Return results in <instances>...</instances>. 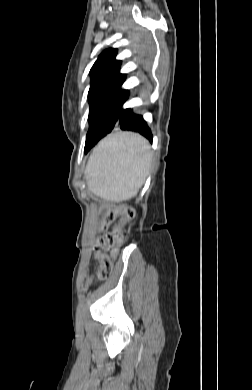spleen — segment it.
I'll return each mask as SVG.
<instances>
[{"mask_svg":"<svg viewBox=\"0 0 252 390\" xmlns=\"http://www.w3.org/2000/svg\"><path fill=\"white\" fill-rule=\"evenodd\" d=\"M152 153L148 142L133 133H116L103 140L90 156L85 177L89 190L100 198L121 202L134 197L143 185Z\"/></svg>","mask_w":252,"mask_h":390,"instance_id":"3e777b00","label":"spleen"}]
</instances>
